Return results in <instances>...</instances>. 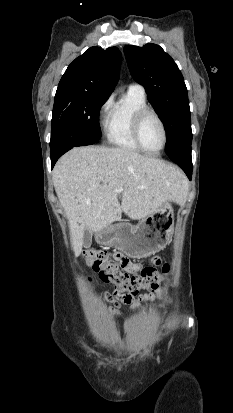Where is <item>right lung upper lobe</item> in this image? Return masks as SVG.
<instances>
[{"label":"right lung upper lobe","instance_id":"right-lung-upper-lobe-1","mask_svg":"<svg viewBox=\"0 0 233 413\" xmlns=\"http://www.w3.org/2000/svg\"><path fill=\"white\" fill-rule=\"evenodd\" d=\"M121 53L116 47L89 48L66 69L58 89L86 91L109 96L119 79Z\"/></svg>","mask_w":233,"mask_h":413}]
</instances>
